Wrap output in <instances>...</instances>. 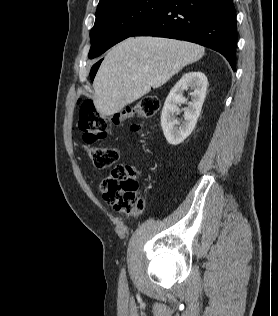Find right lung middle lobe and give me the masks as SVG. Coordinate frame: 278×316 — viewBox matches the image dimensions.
Segmentation results:
<instances>
[{
	"label": "right lung middle lobe",
	"mask_w": 278,
	"mask_h": 316,
	"mask_svg": "<svg viewBox=\"0 0 278 316\" xmlns=\"http://www.w3.org/2000/svg\"><path fill=\"white\" fill-rule=\"evenodd\" d=\"M165 0H107L98 4L94 27L90 32L88 57L95 58L116 43L132 36L162 7ZM96 68L90 72L91 78Z\"/></svg>",
	"instance_id": "right-lung-middle-lobe-1"
}]
</instances>
